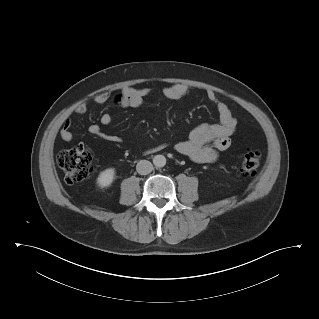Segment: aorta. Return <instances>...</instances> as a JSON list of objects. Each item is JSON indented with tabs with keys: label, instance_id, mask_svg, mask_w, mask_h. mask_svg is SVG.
<instances>
[{
	"label": "aorta",
	"instance_id": "1",
	"mask_svg": "<svg viewBox=\"0 0 319 319\" xmlns=\"http://www.w3.org/2000/svg\"><path fill=\"white\" fill-rule=\"evenodd\" d=\"M153 163L156 167H163L166 164V158L163 155H156L153 158Z\"/></svg>",
	"mask_w": 319,
	"mask_h": 319
}]
</instances>
